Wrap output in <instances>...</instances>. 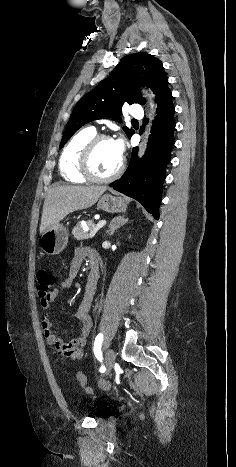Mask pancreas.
Segmentation results:
<instances>
[{
    "label": "pancreas",
    "instance_id": "1",
    "mask_svg": "<svg viewBox=\"0 0 236 467\" xmlns=\"http://www.w3.org/2000/svg\"><path fill=\"white\" fill-rule=\"evenodd\" d=\"M86 224L89 228V232H85L83 230V227L80 222H78L76 226L73 228L72 234L76 240H84V239H88L91 237V233L93 232L95 228V223L93 220H88Z\"/></svg>",
    "mask_w": 236,
    "mask_h": 467
}]
</instances>
